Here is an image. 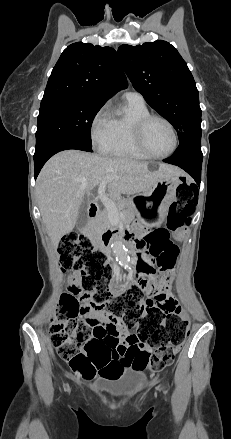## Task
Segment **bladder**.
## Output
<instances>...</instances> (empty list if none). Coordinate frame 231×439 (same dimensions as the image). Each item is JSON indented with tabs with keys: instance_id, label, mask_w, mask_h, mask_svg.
Segmentation results:
<instances>
[{
	"instance_id": "31cf9c89",
	"label": "bladder",
	"mask_w": 231,
	"mask_h": 439,
	"mask_svg": "<svg viewBox=\"0 0 231 439\" xmlns=\"http://www.w3.org/2000/svg\"><path fill=\"white\" fill-rule=\"evenodd\" d=\"M145 380L146 377L141 370L133 368L122 382L105 386L104 391L114 398L134 396L143 388Z\"/></svg>"
}]
</instances>
